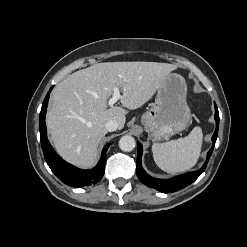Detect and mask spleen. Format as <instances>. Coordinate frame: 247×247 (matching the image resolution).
<instances>
[{
	"instance_id": "1",
	"label": "spleen",
	"mask_w": 247,
	"mask_h": 247,
	"mask_svg": "<svg viewBox=\"0 0 247 247\" xmlns=\"http://www.w3.org/2000/svg\"><path fill=\"white\" fill-rule=\"evenodd\" d=\"M202 140V129L196 126L184 138L154 143L152 145L154 161L161 170L171 174L187 171L198 161Z\"/></svg>"
}]
</instances>
